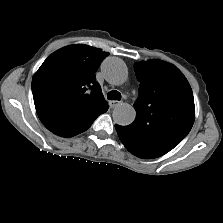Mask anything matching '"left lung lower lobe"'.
<instances>
[{"label": "left lung lower lobe", "instance_id": "obj_1", "mask_svg": "<svg viewBox=\"0 0 223 223\" xmlns=\"http://www.w3.org/2000/svg\"><path fill=\"white\" fill-rule=\"evenodd\" d=\"M116 127V130L118 132V135H119V138L120 140L122 141V143L124 144V146L127 148V150L132 153L133 155L137 156V157H140V158H143V159H152V158H157L159 157V155L155 154V153H152L150 151H147V150H144V149H141V148H136V147H132V146H129L125 143L124 139L120 136V131H119V125H115Z\"/></svg>", "mask_w": 223, "mask_h": 223}]
</instances>
